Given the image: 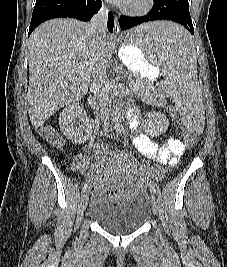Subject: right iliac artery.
<instances>
[{
    "instance_id": "82829eb1",
    "label": "right iliac artery",
    "mask_w": 227,
    "mask_h": 267,
    "mask_svg": "<svg viewBox=\"0 0 227 267\" xmlns=\"http://www.w3.org/2000/svg\"><path fill=\"white\" fill-rule=\"evenodd\" d=\"M87 187H88V183L86 182V183L84 184V186H83V192L86 191Z\"/></svg>"
}]
</instances>
